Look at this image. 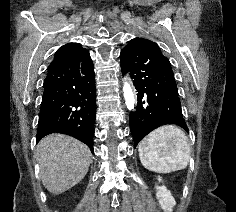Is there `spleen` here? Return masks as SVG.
<instances>
[{"label": "spleen", "mask_w": 236, "mask_h": 212, "mask_svg": "<svg viewBox=\"0 0 236 212\" xmlns=\"http://www.w3.org/2000/svg\"><path fill=\"white\" fill-rule=\"evenodd\" d=\"M142 165L156 173H170L187 167L191 149L188 137L174 125L152 131L138 147Z\"/></svg>", "instance_id": "3e777b00"}]
</instances>
